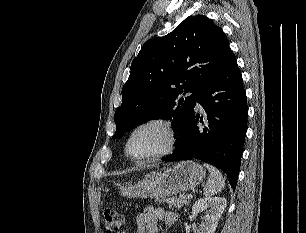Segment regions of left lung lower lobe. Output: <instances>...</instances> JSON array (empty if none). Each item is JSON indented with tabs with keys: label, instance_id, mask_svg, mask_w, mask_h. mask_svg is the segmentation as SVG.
Returning <instances> with one entry per match:
<instances>
[{
	"label": "left lung lower lobe",
	"instance_id": "0a47b994",
	"mask_svg": "<svg viewBox=\"0 0 306 233\" xmlns=\"http://www.w3.org/2000/svg\"><path fill=\"white\" fill-rule=\"evenodd\" d=\"M207 113L205 126L190 115L176 138L175 151L162 160L197 158L223 170L235 190L247 130V100L236 57L230 50L197 101ZM203 122V119H200Z\"/></svg>",
	"mask_w": 306,
	"mask_h": 233
}]
</instances>
